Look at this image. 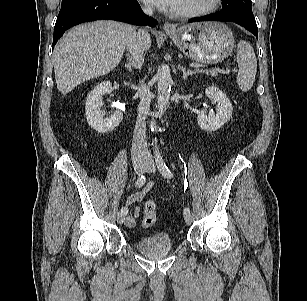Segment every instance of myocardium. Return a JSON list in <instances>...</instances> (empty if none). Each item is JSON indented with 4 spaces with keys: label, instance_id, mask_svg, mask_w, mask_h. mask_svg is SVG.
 <instances>
[{
    "label": "myocardium",
    "instance_id": "1",
    "mask_svg": "<svg viewBox=\"0 0 307 301\" xmlns=\"http://www.w3.org/2000/svg\"><path fill=\"white\" fill-rule=\"evenodd\" d=\"M222 0H209L208 3L200 8L192 10H174L173 14L180 18H197L215 12L221 6Z\"/></svg>",
    "mask_w": 307,
    "mask_h": 301
}]
</instances>
